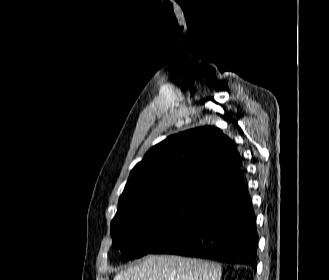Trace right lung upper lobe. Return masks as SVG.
<instances>
[{
    "mask_svg": "<svg viewBox=\"0 0 329 280\" xmlns=\"http://www.w3.org/2000/svg\"><path fill=\"white\" fill-rule=\"evenodd\" d=\"M241 170L236 145L214 126L169 136L131 171L119 204H140L177 195L203 197Z\"/></svg>",
    "mask_w": 329,
    "mask_h": 280,
    "instance_id": "cb5924a9",
    "label": "right lung upper lobe"
}]
</instances>
